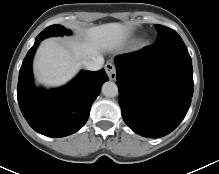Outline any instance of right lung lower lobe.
<instances>
[{
    "mask_svg": "<svg viewBox=\"0 0 219 174\" xmlns=\"http://www.w3.org/2000/svg\"><path fill=\"white\" fill-rule=\"evenodd\" d=\"M40 40H35L19 71L17 97L28 124L48 137H64L77 132L88 120L90 108L108 81L104 69L82 71L66 86L55 90L36 89L33 85L32 59Z\"/></svg>",
    "mask_w": 219,
    "mask_h": 174,
    "instance_id": "1",
    "label": "right lung lower lobe"
}]
</instances>
